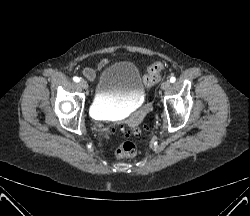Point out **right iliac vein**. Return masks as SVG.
<instances>
[{"label": "right iliac vein", "mask_w": 250, "mask_h": 216, "mask_svg": "<svg viewBox=\"0 0 250 216\" xmlns=\"http://www.w3.org/2000/svg\"><path fill=\"white\" fill-rule=\"evenodd\" d=\"M79 85L83 89H87L88 88V84H87V82L85 80H80L79 81Z\"/></svg>", "instance_id": "obj_1"}]
</instances>
